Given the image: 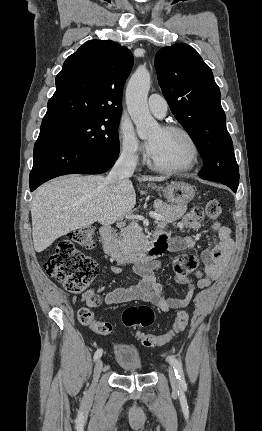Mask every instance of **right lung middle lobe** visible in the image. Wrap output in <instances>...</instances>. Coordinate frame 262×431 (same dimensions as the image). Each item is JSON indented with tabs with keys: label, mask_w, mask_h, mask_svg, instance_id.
<instances>
[{
	"label": "right lung middle lobe",
	"mask_w": 262,
	"mask_h": 431,
	"mask_svg": "<svg viewBox=\"0 0 262 431\" xmlns=\"http://www.w3.org/2000/svg\"><path fill=\"white\" fill-rule=\"evenodd\" d=\"M120 116L88 117L56 124L42 125L39 136L74 141L101 152L119 153L118 126Z\"/></svg>",
	"instance_id": "dd1d6c3e"
}]
</instances>
